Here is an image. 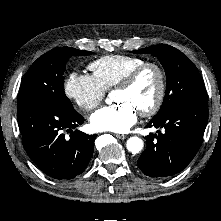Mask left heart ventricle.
Returning a JSON list of instances; mask_svg holds the SVG:
<instances>
[{
    "label": "left heart ventricle",
    "instance_id": "obj_1",
    "mask_svg": "<svg viewBox=\"0 0 221 221\" xmlns=\"http://www.w3.org/2000/svg\"><path fill=\"white\" fill-rule=\"evenodd\" d=\"M158 92V75L154 69H146L128 89H116L115 102H127L138 112L149 108Z\"/></svg>",
    "mask_w": 221,
    "mask_h": 221
}]
</instances>
